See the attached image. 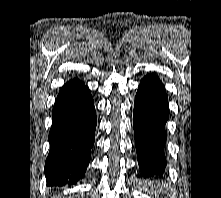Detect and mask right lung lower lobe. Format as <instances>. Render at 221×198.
Instances as JSON below:
<instances>
[{
    "instance_id": "obj_1",
    "label": "right lung lower lobe",
    "mask_w": 221,
    "mask_h": 198,
    "mask_svg": "<svg viewBox=\"0 0 221 198\" xmlns=\"http://www.w3.org/2000/svg\"><path fill=\"white\" fill-rule=\"evenodd\" d=\"M52 117L45 163L47 186L72 185L84 176L95 140L97 118L87 86L78 79L64 84Z\"/></svg>"
}]
</instances>
